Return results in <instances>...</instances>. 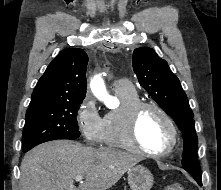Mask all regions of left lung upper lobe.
Here are the masks:
<instances>
[{
  "label": "left lung upper lobe",
  "instance_id": "obj_1",
  "mask_svg": "<svg viewBox=\"0 0 221 190\" xmlns=\"http://www.w3.org/2000/svg\"><path fill=\"white\" fill-rule=\"evenodd\" d=\"M132 64L140 85L173 118L183 134V168L193 178L201 177L194 115L179 79L172 73L167 62L148 47L134 50Z\"/></svg>",
  "mask_w": 221,
  "mask_h": 190
}]
</instances>
